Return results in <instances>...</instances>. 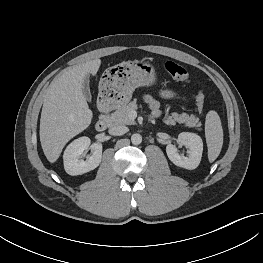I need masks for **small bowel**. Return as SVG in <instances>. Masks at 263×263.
<instances>
[{"label": "small bowel", "mask_w": 263, "mask_h": 263, "mask_svg": "<svg viewBox=\"0 0 263 263\" xmlns=\"http://www.w3.org/2000/svg\"><path fill=\"white\" fill-rule=\"evenodd\" d=\"M165 96L166 97H170L171 93L170 92H166ZM145 99L148 102V104L150 105V108L152 110L153 116L154 117H158L160 115V113H161L159 102L157 100H155L154 98H152L151 96H146Z\"/></svg>", "instance_id": "small-bowel-1"}]
</instances>
